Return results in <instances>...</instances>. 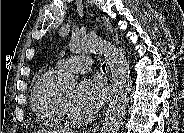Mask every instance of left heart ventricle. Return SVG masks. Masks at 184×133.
Returning a JSON list of instances; mask_svg holds the SVG:
<instances>
[{"label":"left heart ventricle","mask_w":184,"mask_h":133,"mask_svg":"<svg viewBox=\"0 0 184 133\" xmlns=\"http://www.w3.org/2000/svg\"><path fill=\"white\" fill-rule=\"evenodd\" d=\"M63 97L72 105L73 104V89H68L62 92Z\"/></svg>","instance_id":"b2bd125f"}]
</instances>
